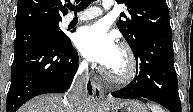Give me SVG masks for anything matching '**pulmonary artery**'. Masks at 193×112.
Wrapping results in <instances>:
<instances>
[{
  "mask_svg": "<svg viewBox=\"0 0 193 112\" xmlns=\"http://www.w3.org/2000/svg\"><path fill=\"white\" fill-rule=\"evenodd\" d=\"M103 7L105 10H109L113 7V2L111 0H105L103 2ZM102 14V10L98 7H90L78 15H69L65 18V25L73 21H86L96 18Z\"/></svg>",
  "mask_w": 193,
  "mask_h": 112,
  "instance_id": "pulmonary-artery-1",
  "label": "pulmonary artery"
}]
</instances>
